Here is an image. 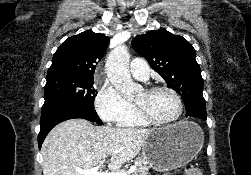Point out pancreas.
Instances as JSON below:
<instances>
[{
  "label": "pancreas",
  "instance_id": "pancreas-1",
  "mask_svg": "<svg viewBox=\"0 0 251 175\" xmlns=\"http://www.w3.org/2000/svg\"><path fill=\"white\" fill-rule=\"evenodd\" d=\"M134 163L136 165V169L133 175H148L149 167L146 159H143V157H136V159H134Z\"/></svg>",
  "mask_w": 251,
  "mask_h": 175
}]
</instances>
